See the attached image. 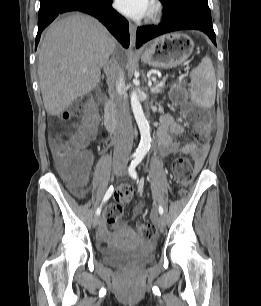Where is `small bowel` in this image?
<instances>
[{
    "label": "small bowel",
    "mask_w": 261,
    "mask_h": 306,
    "mask_svg": "<svg viewBox=\"0 0 261 306\" xmlns=\"http://www.w3.org/2000/svg\"><path fill=\"white\" fill-rule=\"evenodd\" d=\"M184 133L185 128L182 124L177 122L170 114H164L160 118V125L157 133L159 152L163 155H174L178 153L189 155L196 169H200L208 155L209 145L196 143L182 145L176 139ZM85 157L87 159L89 171L93 163V155L90 152H86Z\"/></svg>",
    "instance_id": "1"
}]
</instances>
